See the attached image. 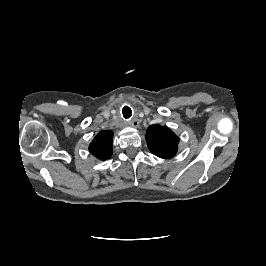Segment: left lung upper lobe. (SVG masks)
<instances>
[{"instance_id": "left-lung-upper-lobe-1", "label": "left lung upper lobe", "mask_w": 266, "mask_h": 266, "mask_svg": "<svg viewBox=\"0 0 266 266\" xmlns=\"http://www.w3.org/2000/svg\"><path fill=\"white\" fill-rule=\"evenodd\" d=\"M145 139L149 150L160 158H171L177 152L179 138L166 126H149Z\"/></svg>"}]
</instances>
